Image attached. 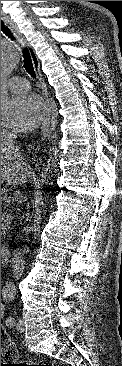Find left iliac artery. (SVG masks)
I'll return each instance as SVG.
<instances>
[{"label": "left iliac artery", "instance_id": "left-iliac-artery-1", "mask_svg": "<svg viewBox=\"0 0 122 366\" xmlns=\"http://www.w3.org/2000/svg\"><path fill=\"white\" fill-rule=\"evenodd\" d=\"M12 298L11 297H7V300L10 301ZM6 324L9 326H14L15 324V319L13 317H8L6 320Z\"/></svg>", "mask_w": 122, "mask_h": 366}]
</instances>
